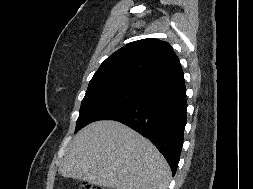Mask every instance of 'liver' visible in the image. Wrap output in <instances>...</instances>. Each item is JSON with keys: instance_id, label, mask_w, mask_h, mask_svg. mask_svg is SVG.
<instances>
[{"instance_id": "liver-1", "label": "liver", "mask_w": 253, "mask_h": 189, "mask_svg": "<svg viewBox=\"0 0 253 189\" xmlns=\"http://www.w3.org/2000/svg\"><path fill=\"white\" fill-rule=\"evenodd\" d=\"M59 173L113 189H167L171 170L145 137L112 120L93 122L68 147Z\"/></svg>"}]
</instances>
